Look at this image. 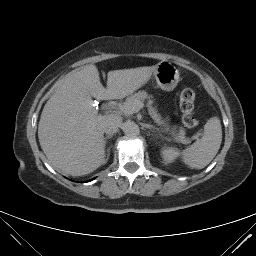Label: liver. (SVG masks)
I'll list each match as a JSON object with an SVG mask.
<instances>
[{
	"mask_svg": "<svg viewBox=\"0 0 256 256\" xmlns=\"http://www.w3.org/2000/svg\"><path fill=\"white\" fill-rule=\"evenodd\" d=\"M153 67L108 72L107 88L93 64L62 79L44 106L38 137L49 163L66 175L89 174L106 163L104 117L94 108L98 100L121 99L148 82Z\"/></svg>",
	"mask_w": 256,
	"mask_h": 256,
	"instance_id": "6515ba94",
	"label": "liver"
}]
</instances>
